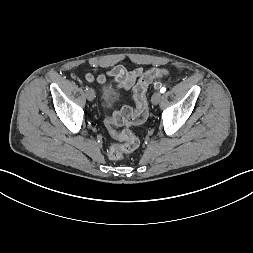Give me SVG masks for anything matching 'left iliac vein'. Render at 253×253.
<instances>
[{
  "mask_svg": "<svg viewBox=\"0 0 253 253\" xmlns=\"http://www.w3.org/2000/svg\"><path fill=\"white\" fill-rule=\"evenodd\" d=\"M161 97H162V95H161L160 92H155V93L153 94L152 98H151L152 103H153L154 105H157V104L160 102Z\"/></svg>",
  "mask_w": 253,
  "mask_h": 253,
  "instance_id": "1",
  "label": "left iliac vein"
}]
</instances>
